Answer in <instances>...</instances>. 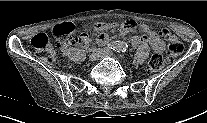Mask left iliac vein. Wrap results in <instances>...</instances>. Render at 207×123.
<instances>
[{
    "label": "left iliac vein",
    "mask_w": 207,
    "mask_h": 123,
    "mask_svg": "<svg viewBox=\"0 0 207 123\" xmlns=\"http://www.w3.org/2000/svg\"><path fill=\"white\" fill-rule=\"evenodd\" d=\"M102 56H110V57H112L113 56V54H112V52L110 51V50H104L103 51V53H102Z\"/></svg>",
    "instance_id": "1"
}]
</instances>
